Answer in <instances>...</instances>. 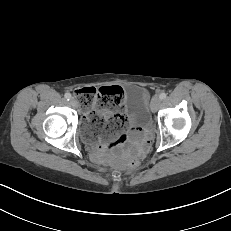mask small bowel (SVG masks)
Returning <instances> with one entry per match:
<instances>
[{"label":"small bowel","instance_id":"1","mask_svg":"<svg viewBox=\"0 0 231 231\" xmlns=\"http://www.w3.org/2000/svg\"><path fill=\"white\" fill-rule=\"evenodd\" d=\"M103 113H106L107 111H102ZM140 138V135H138V139ZM110 147H115V144L114 143H110L109 144ZM104 149H105V145L101 144L97 147V153L98 154H102L104 152Z\"/></svg>","mask_w":231,"mask_h":231}]
</instances>
